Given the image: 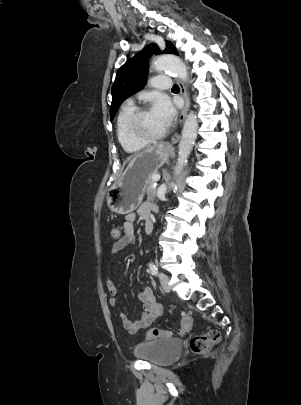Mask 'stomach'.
I'll return each instance as SVG.
<instances>
[{"mask_svg":"<svg viewBox=\"0 0 301 405\" xmlns=\"http://www.w3.org/2000/svg\"><path fill=\"white\" fill-rule=\"evenodd\" d=\"M171 152L170 145L161 143L135 156L108 191L110 210L117 214L133 212L142 202L152 175L168 160Z\"/></svg>","mask_w":301,"mask_h":405,"instance_id":"stomach-1","label":"stomach"}]
</instances>
